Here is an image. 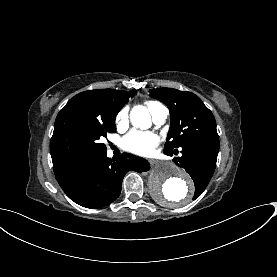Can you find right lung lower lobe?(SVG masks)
Listing matches in <instances>:
<instances>
[{
	"mask_svg": "<svg viewBox=\"0 0 277 277\" xmlns=\"http://www.w3.org/2000/svg\"><path fill=\"white\" fill-rule=\"evenodd\" d=\"M147 160L123 153L116 160L106 150L80 157L53 168L56 179L75 203L91 209L113 202L121 192L125 174L134 170L148 171Z\"/></svg>",
	"mask_w": 277,
	"mask_h": 277,
	"instance_id": "obj_1",
	"label": "right lung lower lobe"
}]
</instances>
